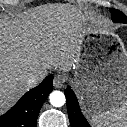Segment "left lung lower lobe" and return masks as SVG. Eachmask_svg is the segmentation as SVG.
Masks as SVG:
<instances>
[{"label": "left lung lower lobe", "mask_w": 127, "mask_h": 127, "mask_svg": "<svg viewBox=\"0 0 127 127\" xmlns=\"http://www.w3.org/2000/svg\"><path fill=\"white\" fill-rule=\"evenodd\" d=\"M66 102H67V110L69 115L70 124L72 127H91L87 120L81 113L78 100L72 91V89L68 86L65 91Z\"/></svg>", "instance_id": "left-lung-lower-lobe-1"}]
</instances>
